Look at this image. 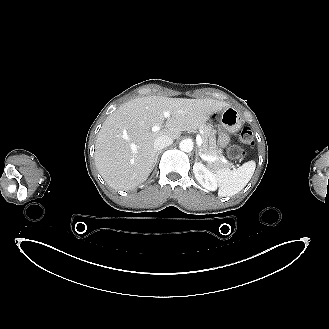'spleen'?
Returning <instances> with one entry per match:
<instances>
[{
    "label": "spleen",
    "mask_w": 329,
    "mask_h": 329,
    "mask_svg": "<svg viewBox=\"0 0 329 329\" xmlns=\"http://www.w3.org/2000/svg\"><path fill=\"white\" fill-rule=\"evenodd\" d=\"M255 168V161H249L234 170L229 168L216 169L215 175L219 183L218 195L225 197L240 192L252 178Z\"/></svg>",
    "instance_id": "obj_1"
}]
</instances>
